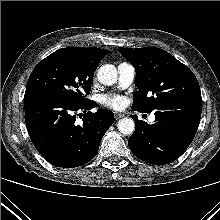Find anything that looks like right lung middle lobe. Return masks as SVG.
Returning <instances> with one entry per match:
<instances>
[{
	"mask_svg": "<svg viewBox=\"0 0 220 220\" xmlns=\"http://www.w3.org/2000/svg\"><path fill=\"white\" fill-rule=\"evenodd\" d=\"M97 64L83 59L70 48L59 49L32 71L25 93L53 94L80 104L88 99Z\"/></svg>",
	"mask_w": 220,
	"mask_h": 220,
	"instance_id": "obj_1",
	"label": "right lung middle lobe"
}]
</instances>
